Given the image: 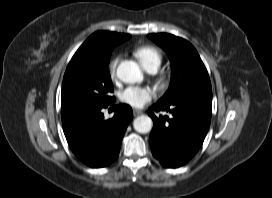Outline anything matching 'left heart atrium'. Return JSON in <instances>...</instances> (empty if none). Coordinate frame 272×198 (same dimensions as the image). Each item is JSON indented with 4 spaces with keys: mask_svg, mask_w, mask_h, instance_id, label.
Segmentation results:
<instances>
[{
    "mask_svg": "<svg viewBox=\"0 0 272 198\" xmlns=\"http://www.w3.org/2000/svg\"><path fill=\"white\" fill-rule=\"evenodd\" d=\"M155 96L156 92L151 87L130 86L120 93V100L132 107L141 108Z\"/></svg>",
    "mask_w": 272,
    "mask_h": 198,
    "instance_id": "left-heart-atrium-1",
    "label": "left heart atrium"
}]
</instances>
